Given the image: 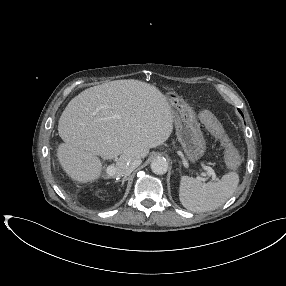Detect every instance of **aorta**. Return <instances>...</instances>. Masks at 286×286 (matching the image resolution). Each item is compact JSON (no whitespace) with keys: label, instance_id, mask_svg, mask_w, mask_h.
Returning <instances> with one entry per match:
<instances>
[{"label":"aorta","instance_id":"obj_1","mask_svg":"<svg viewBox=\"0 0 286 286\" xmlns=\"http://www.w3.org/2000/svg\"><path fill=\"white\" fill-rule=\"evenodd\" d=\"M151 170L157 175H163L168 170V162L165 158H156L151 162Z\"/></svg>","mask_w":286,"mask_h":286}]
</instances>
